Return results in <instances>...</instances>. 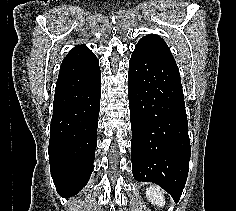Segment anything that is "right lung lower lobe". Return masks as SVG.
<instances>
[{"instance_id": "1", "label": "right lung lower lobe", "mask_w": 236, "mask_h": 211, "mask_svg": "<svg viewBox=\"0 0 236 211\" xmlns=\"http://www.w3.org/2000/svg\"><path fill=\"white\" fill-rule=\"evenodd\" d=\"M101 95V71L56 82L48 147L57 192L78 193L93 171Z\"/></svg>"}]
</instances>
